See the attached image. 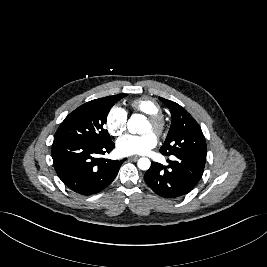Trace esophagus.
<instances>
[{
  "label": "esophagus",
  "instance_id": "obj_1",
  "mask_svg": "<svg viewBox=\"0 0 267 267\" xmlns=\"http://www.w3.org/2000/svg\"><path fill=\"white\" fill-rule=\"evenodd\" d=\"M139 158V156H130L128 157L129 160L131 161H136Z\"/></svg>",
  "mask_w": 267,
  "mask_h": 267
}]
</instances>
